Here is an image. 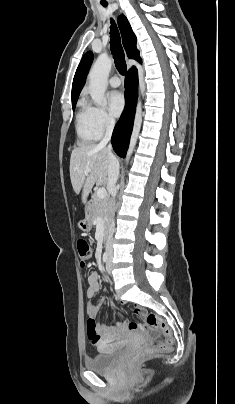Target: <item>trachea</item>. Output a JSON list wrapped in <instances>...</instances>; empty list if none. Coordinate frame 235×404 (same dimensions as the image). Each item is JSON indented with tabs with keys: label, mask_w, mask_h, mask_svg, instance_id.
<instances>
[{
	"label": "trachea",
	"mask_w": 235,
	"mask_h": 404,
	"mask_svg": "<svg viewBox=\"0 0 235 404\" xmlns=\"http://www.w3.org/2000/svg\"><path fill=\"white\" fill-rule=\"evenodd\" d=\"M106 7V4H103ZM110 49L114 58L115 66L121 75H125L127 66L125 62L124 51L121 45L120 35L116 24L111 20L110 26Z\"/></svg>",
	"instance_id": "3493384b"
}]
</instances>
